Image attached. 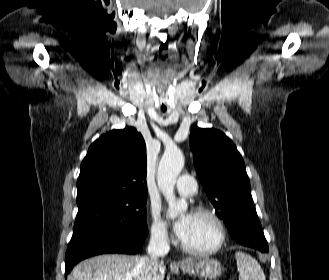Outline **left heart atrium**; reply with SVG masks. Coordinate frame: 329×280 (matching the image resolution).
I'll return each mask as SVG.
<instances>
[{
	"instance_id": "left-heart-atrium-1",
	"label": "left heart atrium",
	"mask_w": 329,
	"mask_h": 280,
	"mask_svg": "<svg viewBox=\"0 0 329 280\" xmlns=\"http://www.w3.org/2000/svg\"><path fill=\"white\" fill-rule=\"evenodd\" d=\"M191 216H192L191 213L184 214L174 224L175 232L180 239H182L187 232L191 220Z\"/></svg>"
}]
</instances>
